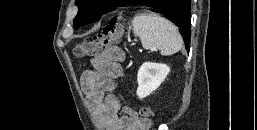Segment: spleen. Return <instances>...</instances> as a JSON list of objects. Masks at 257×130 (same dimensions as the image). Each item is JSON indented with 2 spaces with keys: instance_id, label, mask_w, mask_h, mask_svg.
<instances>
[{
  "instance_id": "1",
  "label": "spleen",
  "mask_w": 257,
  "mask_h": 130,
  "mask_svg": "<svg viewBox=\"0 0 257 130\" xmlns=\"http://www.w3.org/2000/svg\"><path fill=\"white\" fill-rule=\"evenodd\" d=\"M133 33L141 40L145 49H158L161 55L169 56L179 52L183 40L177 27L169 20L155 13H140L132 20Z\"/></svg>"
}]
</instances>
